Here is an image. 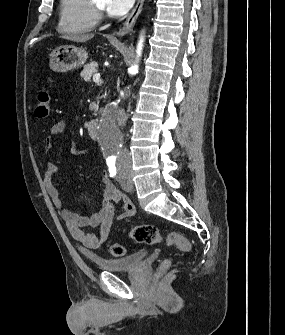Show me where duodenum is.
Instances as JSON below:
<instances>
[{
	"label": "duodenum",
	"instance_id": "duodenum-1",
	"mask_svg": "<svg viewBox=\"0 0 285 335\" xmlns=\"http://www.w3.org/2000/svg\"><path fill=\"white\" fill-rule=\"evenodd\" d=\"M98 128L99 124L96 120H90L87 124V131L88 134L93 138L97 139L98 138Z\"/></svg>",
	"mask_w": 285,
	"mask_h": 335
}]
</instances>
